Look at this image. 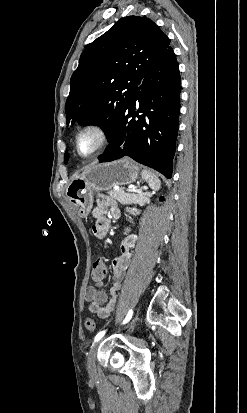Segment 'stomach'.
<instances>
[{
    "label": "stomach",
    "mask_w": 247,
    "mask_h": 413,
    "mask_svg": "<svg viewBox=\"0 0 247 413\" xmlns=\"http://www.w3.org/2000/svg\"><path fill=\"white\" fill-rule=\"evenodd\" d=\"M139 168L130 158L113 162H94L83 172L73 176L66 188L69 202L78 207L80 215L87 217L93 207V194L108 190L115 184H131L138 178Z\"/></svg>",
    "instance_id": "1"
}]
</instances>
